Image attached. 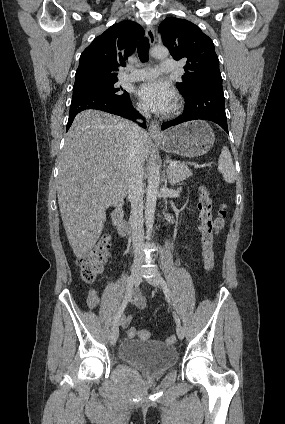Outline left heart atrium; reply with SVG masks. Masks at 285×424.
<instances>
[{
	"instance_id": "39dd6f15",
	"label": "left heart atrium",
	"mask_w": 285,
	"mask_h": 424,
	"mask_svg": "<svg viewBox=\"0 0 285 424\" xmlns=\"http://www.w3.org/2000/svg\"><path fill=\"white\" fill-rule=\"evenodd\" d=\"M138 96L144 106L156 113L168 112L175 99L173 89L165 82L153 80L142 84Z\"/></svg>"
}]
</instances>
